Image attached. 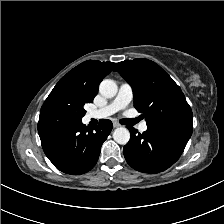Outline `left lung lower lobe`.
<instances>
[{
	"label": "left lung lower lobe",
	"instance_id": "0a47b994",
	"mask_svg": "<svg viewBox=\"0 0 224 224\" xmlns=\"http://www.w3.org/2000/svg\"><path fill=\"white\" fill-rule=\"evenodd\" d=\"M128 129L131 138L123 149L125 159L132 168L146 173H159L174 164L193 131L166 124L148 126L143 134L133 127Z\"/></svg>",
	"mask_w": 224,
	"mask_h": 224
}]
</instances>
